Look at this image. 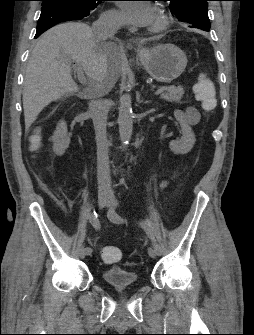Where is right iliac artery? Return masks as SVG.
Returning <instances> with one entry per match:
<instances>
[{
	"label": "right iliac artery",
	"instance_id": "obj_1",
	"mask_svg": "<svg viewBox=\"0 0 254 335\" xmlns=\"http://www.w3.org/2000/svg\"><path fill=\"white\" fill-rule=\"evenodd\" d=\"M89 221L91 223V225L96 229V230H100V222L98 219V215L95 211L91 212L89 214ZM92 248L91 247H86V254L87 255H92Z\"/></svg>",
	"mask_w": 254,
	"mask_h": 335
}]
</instances>
